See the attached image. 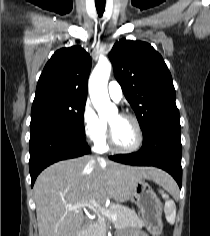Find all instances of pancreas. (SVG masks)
<instances>
[{"instance_id": "pancreas-1", "label": "pancreas", "mask_w": 210, "mask_h": 236, "mask_svg": "<svg viewBox=\"0 0 210 236\" xmlns=\"http://www.w3.org/2000/svg\"><path fill=\"white\" fill-rule=\"evenodd\" d=\"M108 212L117 215V219L112 221L116 229H121L124 227L141 228L144 226L143 220L129 207L114 205L108 209ZM108 223L109 221L106 219V216L98 217V219L89 228L88 236H104Z\"/></svg>"}]
</instances>
